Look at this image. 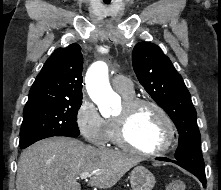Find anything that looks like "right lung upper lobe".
I'll return each instance as SVG.
<instances>
[{
	"label": "right lung upper lobe",
	"instance_id": "right-lung-upper-lobe-1",
	"mask_svg": "<svg viewBox=\"0 0 221 190\" xmlns=\"http://www.w3.org/2000/svg\"><path fill=\"white\" fill-rule=\"evenodd\" d=\"M83 56L78 44L57 48L37 75L26 105L82 100Z\"/></svg>",
	"mask_w": 221,
	"mask_h": 190
}]
</instances>
